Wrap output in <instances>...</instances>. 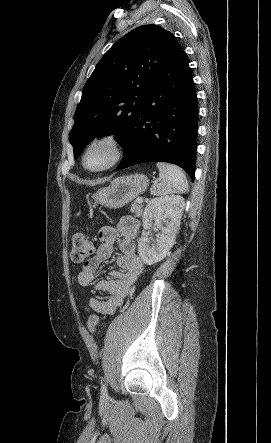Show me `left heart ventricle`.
I'll use <instances>...</instances> for the list:
<instances>
[{
    "label": "left heart ventricle",
    "mask_w": 271,
    "mask_h": 443,
    "mask_svg": "<svg viewBox=\"0 0 271 443\" xmlns=\"http://www.w3.org/2000/svg\"><path fill=\"white\" fill-rule=\"evenodd\" d=\"M113 157V148L108 142H99L90 146L84 156V166L94 170L106 165Z\"/></svg>",
    "instance_id": "left-heart-ventricle-1"
}]
</instances>
